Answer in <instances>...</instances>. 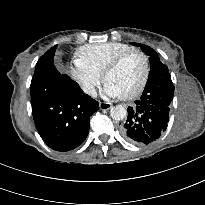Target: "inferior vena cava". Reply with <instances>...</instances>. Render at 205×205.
Returning <instances> with one entry per match:
<instances>
[{"label": "inferior vena cava", "instance_id": "1", "mask_svg": "<svg viewBox=\"0 0 205 205\" xmlns=\"http://www.w3.org/2000/svg\"><path fill=\"white\" fill-rule=\"evenodd\" d=\"M84 93L91 95L92 97H96L97 96V92L95 90V87L92 85L89 86H84L83 88Z\"/></svg>", "mask_w": 205, "mask_h": 205}]
</instances>
